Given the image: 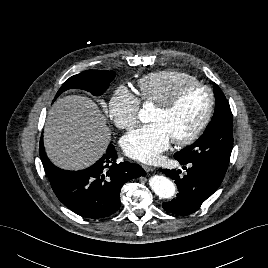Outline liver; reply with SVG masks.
<instances>
[{
	"label": "liver",
	"mask_w": 268,
	"mask_h": 268,
	"mask_svg": "<svg viewBox=\"0 0 268 268\" xmlns=\"http://www.w3.org/2000/svg\"><path fill=\"white\" fill-rule=\"evenodd\" d=\"M106 118L98 105L80 95L58 99L44 128V147L57 167L81 170L95 163L111 139Z\"/></svg>",
	"instance_id": "1"
}]
</instances>
